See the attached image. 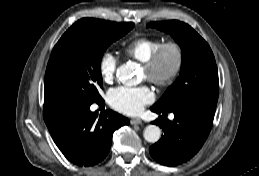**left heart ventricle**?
Returning <instances> with one entry per match:
<instances>
[{
  "mask_svg": "<svg viewBox=\"0 0 259 176\" xmlns=\"http://www.w3.org/2000/svg\"><path fill=\"white\" fill-rule=\"evenodd\" d=\"M173 63H174V54L172 51H168L164 58H163V61H162V69L164 71H168L171 69V67L173 66ZM143 74H144V77L147 78V73L146 71L143 69Z\"/></svg>",
  "mask_w": 259,
  "mask_h": 176,
  "instance_id": "left-heart-ventricle-1",
  "label": "left heart ventricle"
}]
</instances>
